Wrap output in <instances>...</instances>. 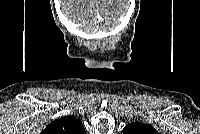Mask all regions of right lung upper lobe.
Here are the masks:
<instances>
[{
	"label": "right lung upper lobe",
	"instance_id": "right-lung-upper-lobe-1",
	"mask_svg": "<svg viewBox=\"0 0 200 134\" xmlns=\"http://www.w3.org/2000/svg\"><path fill=\"white\" fill-rule=\"evenodd\" d=\"M45 134H84L82 123L73 116H67L50 123L44 130Z\"/></svg>",
	"mask_w": 200,
	"mask_h": 134
}]
</instances>
